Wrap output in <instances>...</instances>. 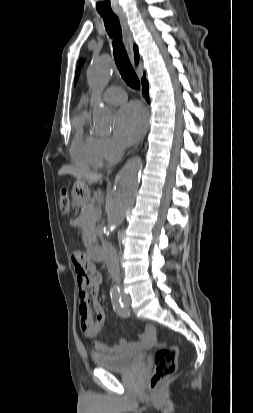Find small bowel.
I'll list each match as a JSON object with an SVG mask.
<instances>
[{"label": "small bowel", "instance_id": "c3829d8e", "mask_svg": "<svg viewBox=\"0 0 253 413\" xmlns=\"http://www.w3.org/2000/svg\"><path fill=\"white\" fill-rule=\"evenodd\" d=\"M71 259L78 283V316L81 330L87 338L92 339L100 334L105 325V311L98 301V294L102 285V275L83 253L75 252L72 254ZM155 338L156 331L154 327L146 324L143 327L142 333L139 334L138 340L132 344L122 341L120 344L110 347L94 340L93 348L100 354H115L124 351L126 348L148 347L155 341Z\"/></svg>", "mask_w": 253, "mask_h": 413}]
</instances>
